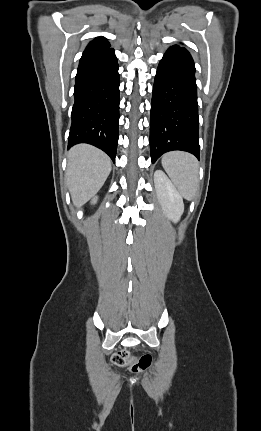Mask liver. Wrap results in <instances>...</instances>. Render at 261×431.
<instances>
[{
	"mask_svg": "<svg viewBox=\"0 0 261 431\" xmlns=\"http://www.w3.org/2000/svg\"><path fill=\"white\" fill-rule=\"evenodd\" d=\"M111 172V160L88 144L75 145L68 153L67 183L72 201L79 207L103 186Z\"/></svg>",
	"mask_w": 261,
	"mask_h": 431,
	"instance_id": "obj_1",
	"label": "liver"
}]
</instances>
